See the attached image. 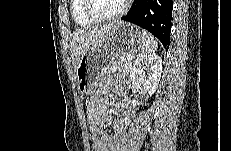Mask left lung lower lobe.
<instances>
[{"mask_svg": "<svg viewBox=\"0 0 231 151\" xmlns=\"http://www.w3.org/2000/svg\"><path fill=\"white\" fill-rule=\"evenodd\" d=\"M172 0H134L122 20L134 23L157 37L168 50L172 21Z\"/></svg>", "mask_w": 231, "mask_h": 151, "instance_id": "obj_1", "label": "left lung lower lobe"}]
</instances>
